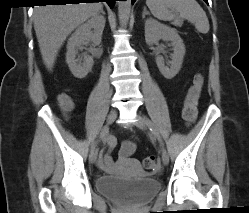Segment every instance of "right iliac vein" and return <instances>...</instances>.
<instances>
[{"label":"right iliac vein","instance_id":"obj_1","mask_svg":"<svg viewBox=\"0 0 249 213\" xmlns=\"http://www.w3.org/2000/svg\"><path fill=\"white\" fill-rule=\"evenodd\" d=\"M117 118V112L115 110L110 111L108 117H107V124H112ZM97 158V150L95 149L92 151L89 155V161L90 163H95Z\"/></svg>","mask_w":249,"mask_h":213}]
</instances>
